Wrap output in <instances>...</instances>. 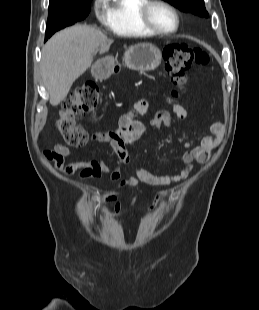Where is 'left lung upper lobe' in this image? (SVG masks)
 Returning <instances> with one entry per match:
<instances>
[{
  "instance_id": "left-lung-upper-lobe-1",
  "label": "left lung upper lobe",
  "mask_w": 259,
  "mask_h": 310,
  "mask_svg": "<svg viewBox=\"0 0 259 310\" xmlns=\"http://www.w3.org/2000/svg\"><path fill=\"white\" fill-rule=\"evenodd\" d=\"M181 11L190 12L198 16L207 17L208 12L204 6V0H164Z\"/></svg>"
}]
</instances>
